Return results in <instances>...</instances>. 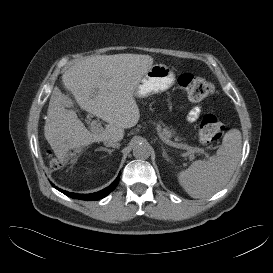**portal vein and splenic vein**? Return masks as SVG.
Segmentation results:
<instances>
[{"instance_id": "portal-vein-and-splenic-vein-1", "label": "portal vein and splenic vein", "mask_w": 273, "mask_h": 273, "mask_svg": "<svg viewBox=\"0 0 273 273\" xmlns=\"http://www.w3.org/2000/svg\"><path fill=\"white\" fill-rule=\"evenodd\" d=\"M91 129L93 131H100L102 129V127H101L100 123H98L97 121H93L91 124ZM161 139L164 143L168 144L169 146L176 147V148H182V146L175 144L174 142L168 140L165 137L161 136ZM183 148L187 149L190 154L203 153V154H205L206 157H209V154L204 152V150H202V149L190 148V147H183Z\"/></svg>"}]
</instances>
